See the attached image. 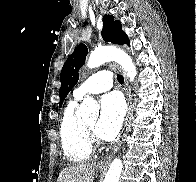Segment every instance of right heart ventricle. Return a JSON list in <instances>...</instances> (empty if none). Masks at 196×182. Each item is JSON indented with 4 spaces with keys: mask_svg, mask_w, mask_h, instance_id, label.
Returning a JSON list of instances; mask_svg holds the SVG:
<instances>
[{
    "mask_svg": "<svg viewBox=\"0 0 196 182\" xmlns=\"http://www.w3.org/2000/svg\"><path fill=\"white\" fill-rule=\"evenodd\" d=\"M77 99L71 100L65 107L60 123L59 134L63 153L73 163L87 160L92 153L85 123L77 115Z\"/></svg>",
    "mask_w": 196,
    "mask_h": 182,
    "instance_id": "1",
    "label": "right heart ventricle"
}]
</instances>
